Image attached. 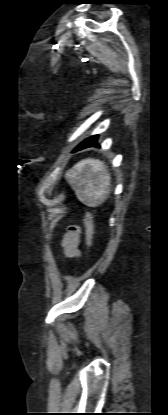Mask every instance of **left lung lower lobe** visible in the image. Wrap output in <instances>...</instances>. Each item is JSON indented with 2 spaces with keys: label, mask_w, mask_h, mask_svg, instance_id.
Here are the masks:
<instances>
[{
  "label": "left lung lower lobe",
  "mask_w": 168,
  "mask_h": 415,
  "mask_svg": "<svg viewBox=\"0 0 168 415\" xmlns=\"http://www.w3.org/2000/svg\"><path fill=\"white\" fill-rule=\"evenodd\" d=\"M97 139H98V135H94L91 136L89 138H87L85 141H83L81 144H79L75 149V151L81 150V149H85L87 147H97L99 146L97 143Z\"/></svg>",
  "instance_id": "left-lung-lower-lobe-1"
}]
</instances>
